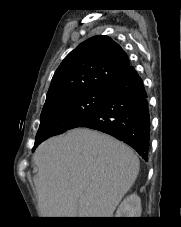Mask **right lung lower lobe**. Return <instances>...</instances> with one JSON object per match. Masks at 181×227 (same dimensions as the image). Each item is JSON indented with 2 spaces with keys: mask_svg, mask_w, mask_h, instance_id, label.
Instances as JSON below:
<instances>
[{
  "mask_svg": "<svg viewBox=\"0 0 181 227\" xmlns=\"http://www.w3.org/2000/svg\"><path fill=\"white\" fill-rule=\"evenodd\" d=\"M79 127L96 129L133 147L148 160L150 148V115L142 79L132 67L109 87V95L92 117Z\"/></svg>",
  "mask_w": 181,
  "mask_h": 227,
  "instance_id": "98d812e1",
  "label": "right lung lower lobe"
}]
</instances>
